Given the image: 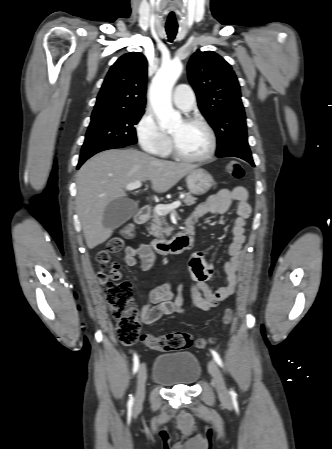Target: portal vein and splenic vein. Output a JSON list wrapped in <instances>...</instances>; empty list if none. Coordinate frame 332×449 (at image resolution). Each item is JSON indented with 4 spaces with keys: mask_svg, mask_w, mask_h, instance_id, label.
Returning a JSON list of instances; mask_svg holds the SVG:
<instances>
[{
    "mask_svg": "<svg viewBox=\"0 0 332 449\" xmlns=\"http://www.w3.org/2000/svg\"><path fill=\"white\" fill-rule=\"evenodd\" d=\"M141 186H142L141 181H135V182L127 184L125 189L128 191H131V190L138 189ZM180 205H181L180 201H175V202H173L171 204H167V205L159 204L155 207V211L160 215H165L168 212L173 211L174 209L178 208Z\"/></svg>",
    "mask_w": 332,
    "mask_h": 449,
    "instance_id": "obj_1",
    "label": "portal vein and splenic vein"
}]
</instances>
